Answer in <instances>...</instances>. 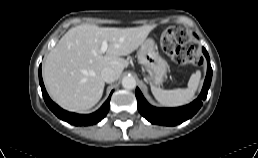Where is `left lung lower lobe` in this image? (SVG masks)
I'll use <instances>...</instances> for the list:
<instances>
[{
  "instance_id": "1",
  "label": "left lung lower lobe",
  "mask_w": 258,
  "mask_h": 158,
  "mask_svg": "<svg viewBox=\"0 0 258 158\" xmlns=\"http://www.w3.org/2000/svg\"><path fill=\"white\" fill-rule=\"evenodd\" d=\"M202 50L208 62L207 75L200 95L192 103L178 108H157L151 106L143 97L141 91L138 88L136 89L138 110L149 122L158 125L175 126L194 116V114L201 108L203 101L207 97L212 79V68L208 52L205 48ZM201 61H203V58H201Z\"/></svg>"
}]
</instances>
